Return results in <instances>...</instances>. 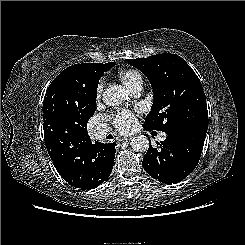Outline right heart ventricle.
Masks as SVG:
<instances>
[{"label":"right heart ventricle","instance_id":"right-heart-ventricle-1","mask_svg":"<svg viewBox=\"0 0 245 245\" xmlns=\"http://www.w3.org/2000/svg\"><path fill=\"white\" fill-rule=\"evenodd\" d=\"M118 76L130 91H133L138 85L143 84L141 73L135 69L122 70Z\"/></svg>","mask_w":245,"mask_h":245}]
</instances>
